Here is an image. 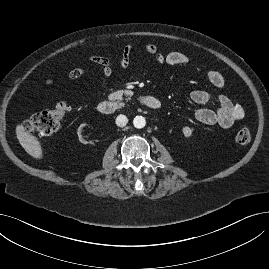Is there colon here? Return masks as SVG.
Masks as SVG:
<instances>
[{"instance_id": "colon-1", "label": "colon", "mask_w": 269, "mask_h": 269, "mask_svg": "<svg viewBox=\"0 0 269 269\" xmlns=\"http://www.w3.org/2000/svg\"><path fill=\"white\" fill-rule=\"evenodd\" d=\"M67 111V103L59 102L50 108L35 114L32 118L25 121L21 128L24 132L36 136L51 135L58 129L60 122L67 114ZM250 139L251 133L249 129L243 128L237 132V143L245 145L250 141Z\"/></svg>"}]
</instances>
